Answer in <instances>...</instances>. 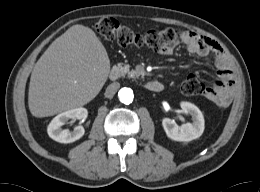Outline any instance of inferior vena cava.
<instances>
[{"instance_id":"1","label":"inferior vena cava","mask_w":260,"mask_h":192,"mask_svg":"<svg viewBox=\"0 0 260 192\" xmlns=\"http://www.w3.org/2000/svg\"><path fill=\"white\" fill-rule=\"evenodd\" d=\"M119 88H120V84L118 82H114L110 84L105 91L106 97L112 98Z\"/></svg>"}]
</instances>
